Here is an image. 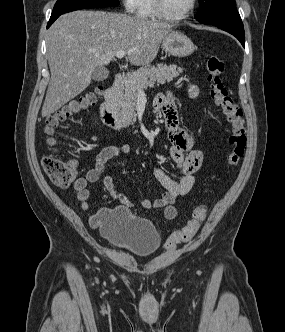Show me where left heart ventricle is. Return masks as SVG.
Wrapping results in <instances>:
<instances>
[{"instance_id":"1","label":"left heart ventricle","mask_w":285,"mask_h":332,"mask_svg":"<svg viewBox=\"0 0 285 332\" xmlns=\"http://www.w3.org/2000/svg\"><path fill=\"white\" fill-rule=\"evenodd\" d=\"M190 4L191 0H164L165 9L172 16L182 15Z\"/></svg>"}]
</instances>
